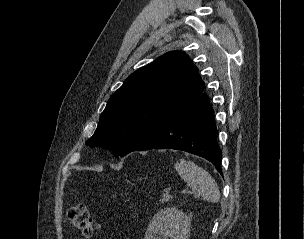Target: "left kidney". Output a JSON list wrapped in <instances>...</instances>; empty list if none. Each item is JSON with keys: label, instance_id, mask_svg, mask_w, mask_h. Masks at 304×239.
<instances>
[{"label": "left kidney", "instance_id": "left-kidney-1", "mask_svg": "<svg viewBox=\"0 0 304 239\" xmlns=\"http://www.w3.org/2000/svg\"><path fill=\"white\" fill-rule=\"evenodd\" d=\"M190 219L176 207L162 209L150 221L144 239H188Z\"/></svg>", "mask_w": 304, "mask_h": 239}]
</instances>
